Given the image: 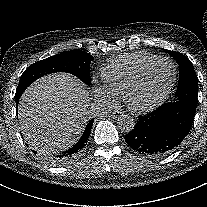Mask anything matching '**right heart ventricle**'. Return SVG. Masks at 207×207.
<instances>
[{
    "mask_svg": "<svg viewBox=\"0 0 207 207\" xmlns=\"http://www.w3.org/2000/svg\"><path fill=\"white\" fill-rule=\"evenodd\" d=\"M156 55L147 52H138L123 55L111 60L102 69V79L113 98H121L130 83L139 72L151 61L157 59Z\"/></svg>",
    "mask_w": 207,
    "mask_h": 207,
    "instance_id": "right-heart-ventricle-1",
    "label": "right heart ventricle"
}]
</instances>
